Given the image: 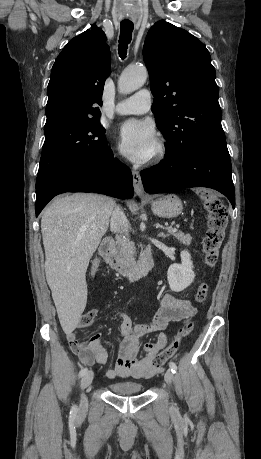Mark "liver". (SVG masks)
<instances>
[{"label": "liver", "instance_id": "liver-1", "mask_svg": "<svg viewBox=\"0 0 261 459\" xmlns=\"http://www.w3.org/2000/svg\"><path fill=\"white\" fill-rule=\"evenodd\" d=\"M115 201L92 193L59 196L44 210L45 274L63 331L78 326L87 302L86 271L108 230Z\"/></svg>", "mask_w": 261, "mask_h": 459}]
</instances>
